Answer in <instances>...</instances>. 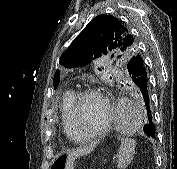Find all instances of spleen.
Wrapping results in <instances>:
<instances>
[{
	"instance_id": "spleen-1",
	"label": "spleen",
	"mask_w": 177,
	"mask_h": 169,
	"mask_svg": "<svg viewBox=\"0 0 177 169\" xmlns=\"http://www.w3.org/2000/svg\"><path fill=\"white\" fill-rule=\"evenodd\" d=\"M120 151L118 153L117 167L119 169H125L133 160L135 153L136 141L131 138H119Z\"/></svg>"
}]
</instances>
